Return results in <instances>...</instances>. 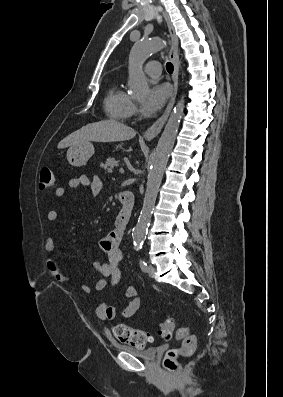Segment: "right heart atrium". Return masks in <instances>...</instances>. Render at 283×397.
<instances>
[{
	"label": "right heart atrium",
	"mask_w": 283,
	"mask_h": 397,
	"mask_svg": "<svg viewBox=\"0 0 283 397\" xmlns=\"http://www.w3.org/2000/svg\"><path fill=\"white\" fill-rule=\"evenodd\" d=\"M138 113L137 106L131 102L129 109H128V116H135Z\"/></svg>",
	"instance_id": "right-heart-atrium-1"
}]
</instances>
